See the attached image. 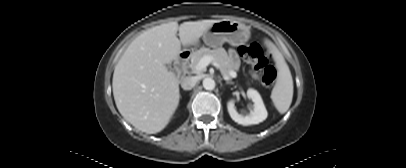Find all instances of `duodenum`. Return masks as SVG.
<instances>
[{"label":"duodenum","mask_w":406,"mask_h":168,"mask_svg":"<svg viewBox=\"0 0 406 168\" xmlns=\"http://www.w3.org/2000/svg\"><path fill=\"white\" fill-rule=\"evenodd\" d=\"M190 56L191 53L189 51H182L175 59V69L180 76L186 74L185 68Z\"/></svg>","instance_id":"obj_1"}]
</instances>
